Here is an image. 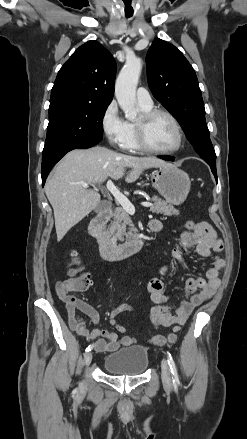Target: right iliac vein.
Masks as SVG:
<instances>
[{"label":"right iliac vein","mask_w":247,"mask_h":439,"mask_svg":"<svg viewBox=\"0 0 247 439\" xmlns=\"http://www.w3.org/2000/svg\"><path fill=\"white\" fill-rule=\"evenodd\" d=\"M92 361V352H87L85 355V365L89 366Z\"/></svg>","instance_id":"63e3f726"}]
</instances>
